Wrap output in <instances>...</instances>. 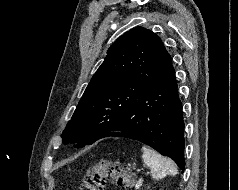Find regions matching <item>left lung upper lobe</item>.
<instances>
[{
    "label": "left lung upper lobe",
    "instance_id": "left-lung-upper-lobe-1",
    "mask_svg": "<svg viewBox=\"0 0 238 190\" xmlns=\"http://www.w3.org/2000/svg\"><path fill=\"white\" fill-rule=\"evenodd\" d=\"M172 59L152 31L136 27L120 36L88 84L62 137L77 147L93 144L119 119Z\"/></svg>",
    "mask_w": 238,
    "mask_h": 190
}]
</instances>
